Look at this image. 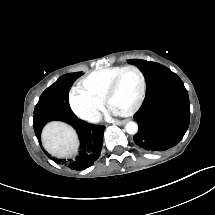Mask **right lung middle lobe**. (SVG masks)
<instances>
[{"label": "right lung middle lobe", "instance_id": "obj_1", "mask_svg": "<svg viewBox=\"0 0 215 215\" xmlns=\"http://www.w3.org/2000/svg\"><path fill=\"white\" fill-rule=\"evenodd\" d=\"M80 76V73L65 75L51 85L41 95L35 107L34 121L56 115L75 117L69 105L68 94L71 85Z\"/></svg>", "mask_w": 215, "mask_h": 215}]
</instances>
